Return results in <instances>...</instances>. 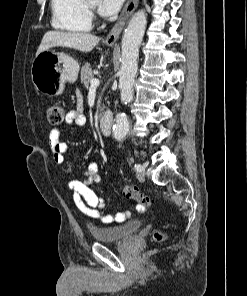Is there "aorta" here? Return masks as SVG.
Returning a JSON list of instances; mask_svg holds the SVG:
<instances>
[{
    "label": "aorta",
    "mask_w": 247,
    "mask_h": 296,
    "mask_svg": "<svg viewBox=\"0 0 247 296\" xmlns=\"http://www.w3.org/2000/svg\"><path fill=\"white\" fill-rule=\"evenodd\" d=\"M147 24L144 10L137 11L130 19L122 38V66L119 72L121 102L127 104L133 100V86L138 70L139 47L143 40ZM129 132V120L124 113L115 117L113 134L116 140H122Z\"/></svg>",
    "instance_id": "762f6f07"
}]
</instances>
